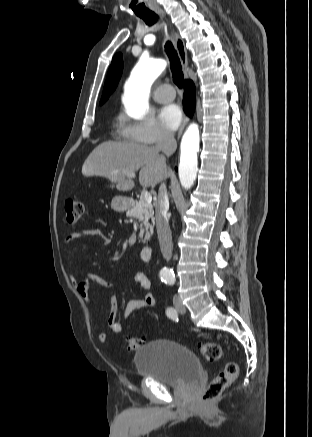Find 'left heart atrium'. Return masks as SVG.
I'll use <instances>...</instances> for the list:
<instances>
[{
	"label": "left heart atrium",
	"mask_w": 312,
	"mask_h": 437,
	"mask_svg": "<svg viewBox=\"0 0 312 437\" xmlns=\"http://www.w3.org/2000/svg\"><path fill=\"white\" fill-rule=\"evenodd\" d=\"M159 118L166 128L175 130L182 121V112L179 106L170 104L160 110Z\"/></svg>",
	"instance_id": "left-heart-atrium-1"
}]
</instances>
